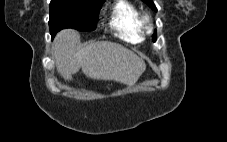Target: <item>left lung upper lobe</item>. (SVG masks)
Here are the masks:
<instances>
[{"mask_svg":"<svg viewBox=\"0 0 227 142\" xmlns=\"http://www.w3.org/2000/svg\"><path fill=\"white\" fill-rule=\"evenodd\" d=\"M147 5H149L153 10L157 11V8L155 7L152 0H143ZM153 41H156V35L153 36Z\"/></svg>","mask_w":227,"mask_h":142,"instance_id":"1","label":"left lung upper lobe"}]
</instances>
